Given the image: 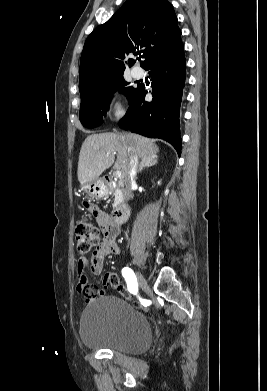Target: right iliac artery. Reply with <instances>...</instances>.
I'll return each instance as SVG.
<instances>
[{
  "label": "right iliac artery",
  "instance_id": "right-iliac-artery-1",
  "mask_svg": "<svg viewBox=\"0 0 267 391\" xmlns=\"http://www.w3.org/2000/svg\"><path fill=\"white\" fill-rule=\"evenodd\" d=\"M122 275L127 282L128 290L131 293H136L138 286H137V280L134 272L130 268L125 267L122 269Z\"/></svg>",
  "mask_w": 267,
  "mask_h": 391
}]
</instances>
